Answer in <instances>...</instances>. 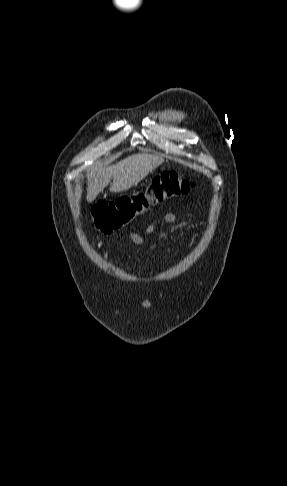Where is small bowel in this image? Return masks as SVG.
<instances>
[{
    "mask_svg": "<svg viewBox=\"0 0 287 486\" xmlns=\"http://www.w3.org/2000/svg\"><path fill=\"white\" fill-rule=\"evenodd\" d=\"M160 222H165V223H168V224H176L177 223V217L173 213H166L160 219L154 220L150 224H148L144 229V233L147 234V235L154 233ZM128 237L136 245L141 246V245L144 244V238L138 233L130 232L128 234ZM160 247L164 248V245L161 243Z\"/></svg>",
    "mask_w": 287,
    "mask_h": 486,
    "instance_id": "c3829d8e",
    "label": "small bowel"
}]
</instances>
